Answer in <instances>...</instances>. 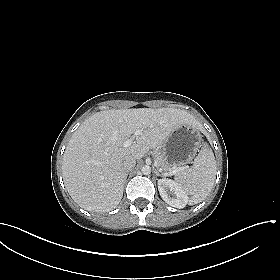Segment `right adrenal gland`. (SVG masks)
<instances>
[{
    "label": "right adrenal gland",
    "instance_id": "1",
    "mask_svg": "<svg viewBox=\"0 0 280 280\" xmlns=\"http://www.w3.org/2000/svg\"><path fill=\"white\" fill-rule=\"evenodd\" d=\"M128 174H129V172H127V173H126V175H125L124 183H125V182H126V180H127V176H128Z\"/></svg>",
    "mask_w": 280,
    "mask_h": 280
}]
</instances>
